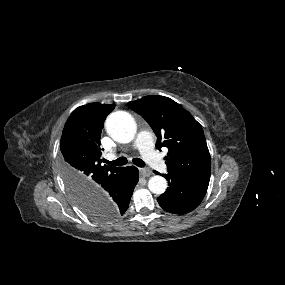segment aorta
Listing matches in <instances>:
<instances>
[{"label":"aorta","instance_id":"762f6f07","mask_svg":"<svg viewBox=\"0 0 285 285\" xmlns=\"http://www.w3.org/2000/svg\"><path fill=\"white\" fill-rule=\"evenodd\" d=\"M106 131L115 141L131 142L136 134L134 118L125 111L111 113L105 122ZM149 190L157 195L163 194L167 188V181L161 176H153L148 181Z\"/></svg>","mask_w":285,"mask_h":285}]
</instances>
